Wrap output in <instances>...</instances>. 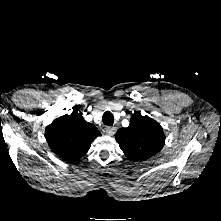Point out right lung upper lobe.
I'll return each instance as SVG.
<instances>
[{"label": "right lung upper lobe", "instance_id": "right-lung-upper-lobe-1", "mask_svg": "<svg viewBox=\"0 0 221 221\" xmlns=\"http://www.w3.org/2000/svg\"><path fill=\"white\" fill-rule=\"evenodd\" d=\"M45 135L55 154L66 161H76L87 153L101 133L74 110L71 115L59 117L47 126Z\"/></svg>", "mask_w": 221, "mask_h": 221}]
</instances>
